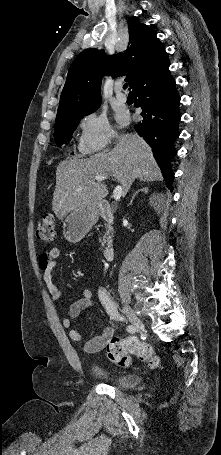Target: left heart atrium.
I'll use <instances>...</instances> for the list:
<instances>
[{
	"label": "left heart atrium",
	"instance_id": "obj_1",
	"mask_svg": "<svg viewBox=\"0 0 221 455\" xmlns=\"http://www.w3.org/2000/svg\"><path fill=\"white\" fill-rule=\"evenodd\" d=\"M120 121H121V122H125V121H126V115H124V114L121 115V116H120Z\"/></svg>",
	"mask_w": 221,
	"mask_h": 455
}]
</instances>
